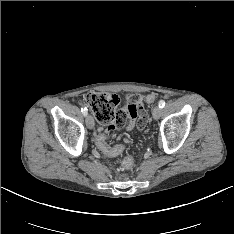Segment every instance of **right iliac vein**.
Listing matches in <instances>:
<instances>
[{"label": "right iliac vein", "instance_id": "1", "mask_svg": "<svg viewBox=\"0 0 234 234\" xmlns=\"http://www.w3.org/2000/svg\"><path fill=\"white\" fill-rule=\"evenodd\" d=\"M86 125L89 129L94 128V119L91 115H86Z\"/></svg>", "mask_w": 234, "mask_h": 234}]
</instances>
